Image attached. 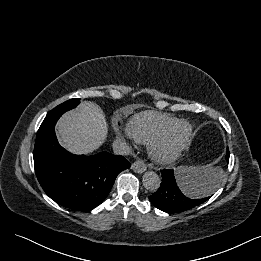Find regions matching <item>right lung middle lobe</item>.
I'll use <instances>...</instances> for the list:
<instances>
[{
    "mask_svg": "<svg viewBox=\"0 0 261 261\" xmlns=\"http://www.w3.org/2000/svg\"><path fill=\"white\" fill-rule=\"evenodd\" d=\"M80 103V99L79 98H75V99H70L60 105H58L57 107H55L54 109H52L47 116H51V115H56V114H63L64 112L75 108L78 104Z\"/></svg>",
    "mask_w": 261,
    "mask_h": 261,
    "instance_id": "1",
    "label": "right lung middle lobe"
}]
</instances>
